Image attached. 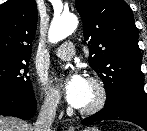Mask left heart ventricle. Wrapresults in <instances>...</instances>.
Returning <instances> with one entry per match:
<instances>
[{"label": "left heart ventricle", "instance_id": "obj_1", "mask_svg": "<svg viewBox=\"0 0 147 131\" xmlns=\"http://www.w3.org/2000/svg\"><path fill=\"white\" fill-rule=\"evenodd\" d=\"M94 99H95V91L92 88V86L89 84L87 96H86L85 102L82 105V107L89 106L94 101Z\"/></svg>", "mask_w": 147, "mask_h": 131}]
</instances>
